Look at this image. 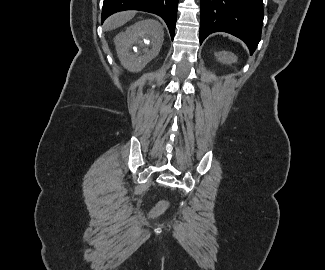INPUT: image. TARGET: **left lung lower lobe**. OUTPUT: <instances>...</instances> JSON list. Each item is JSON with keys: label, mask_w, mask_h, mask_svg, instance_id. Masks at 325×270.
<instances>
[{"label": "left lung lower lobe", "mask_w": 325, "mask_h": 270, "mask_svg": "<svg viewBox=\"0 0 325 270\" xmlns=\"http://www.w3.org/2000/svg\"><path fill=\"white\" fill-rule=\"evenodd\" d=\"M200 44L211 33L227 32L244 41L252 54L260 39L263 0H201Z\"/></svg>", "instance_id": "left-lung-lower-lobe-1"}]
</instances>
